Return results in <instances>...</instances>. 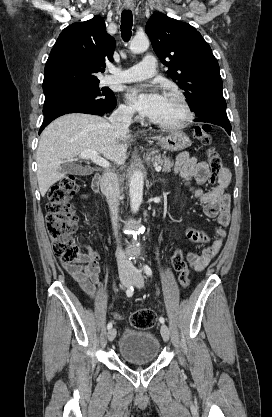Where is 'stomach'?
<instances>
[{
    "label": "stomach",
    "instance_id": "stomach-1",
    "mask_svg": "<svg viewBox=\"0 0 272 417\" xmlns=\"http://www.w3.org/2000/svg\"><path fill=\"white\" fill-rule=\"evenodd\" d=\"M156 140L166 151H181L191 145L189 137L181 131H173L165 137H157Z\"/></svg>",
    "mask_w": 272,
    "mask_h": 417
}]
</instances>
